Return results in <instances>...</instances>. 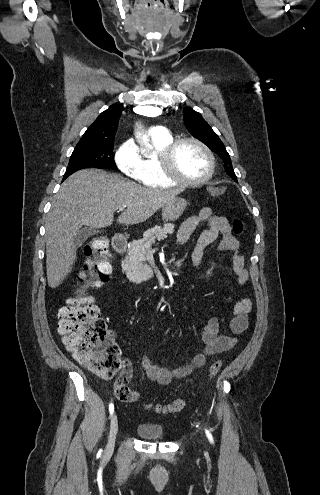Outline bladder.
<instances>
[{
	"instance_id": "bladder-1",
	"label": "bladder",
	"mask_w": 320,
	"mask_h": 495,
	"mask_svg": "<svg viewBox=\"0 0 320 495\" xmlns=\"http://www.w3.org/2000/svg\"><path fill=\"white\" fill-rule=\"evenodd\" d=\"M138 436L147 440H159L164 437V429L157 423H140L136 427Z\"/></svg>"
}]
</instances>
